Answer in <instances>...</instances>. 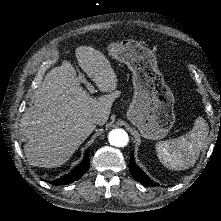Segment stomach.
Here are the masks:
<instances>
[{"label": "stomach", "mask_w": 221, "mask_h": 221, "mask_svg": "<svg viewBox=\"0 0 221 221\" xmlns=\"http://www.w3.org/2000/svg\"><path fill=\"white\" fill-rule=\"evenodd\" d=\"M109 53L127 64L133 73L134 94L127 111L128 120L143 137L163 139L175 122L174 95L162 80L157 59L147 47L131 42L112 43Z\"/></svg>", "instance_id": "obj_1"}]
</instances>
